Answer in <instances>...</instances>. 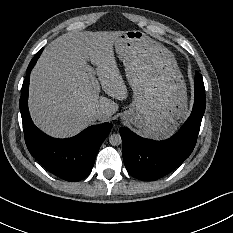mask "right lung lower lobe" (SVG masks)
Here are the masks:
<instances>
[{"label":"right lung lower lobe","mask_w":233,"mask_h":233,"mask_svg":"<svg viewBox=\"0 0 233 233\" xmlns=\"http://www.w3.org/2000/svg\"><path fill=\"white\" fill-rule=\"evenodd\" d=\"M42 50L43 48L31 60L21 91L19 105L25 142L31 155L49 172L66 181H80L90 174L112 123L90 126L67 139L52 138L33 124L28 110L29 75Z\"/></svg>","instance_id":"98d812e1"}]
</instances>
